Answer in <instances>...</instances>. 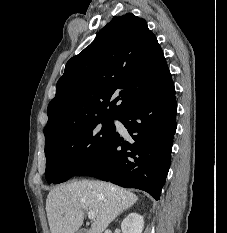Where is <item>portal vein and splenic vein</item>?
I'll return each mask as SVG.
<instances>
[{
    "label": "portal vein and splenic vein",
    "instance_id": "portal-vein-and-splenic-vein-1",
    "mask_svg": "<svg viewBox=\"0 0 227 233\" xmlns=\"http://www.w3.org/2000/svg\"><path fill=\"white\" fill-rule=\"evenodd\" d=\"M88 218L90 220H95V213L94 212H88Z\"/></svg>",
    "mask_w": 227,
    "mask_h": 233
}]
</instances>
